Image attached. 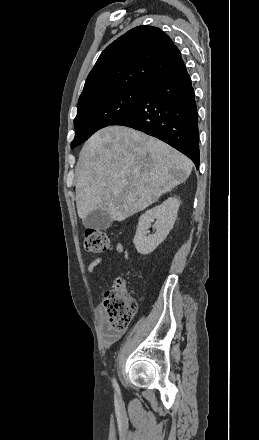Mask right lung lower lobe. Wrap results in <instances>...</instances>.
<instances>
[{
  "instance_id": "right-lung-lower-lobe-1",
  "label": "right lung lower lobe",
  "mask_w": 259,
  "mask_h": 440,
  "mask_svg": "<svg viewBox=\"0 0 259 440\" xmlns=\"http://www.w3.org/2000/svg\"><path fill=\"white\" fill-rule=\"evenodd\" d=\"M112 125L154 136L188 156L199 168L197 108L182 59L154 81L137 105Z\"/></svg>"
}]
</instances>
